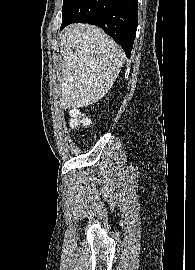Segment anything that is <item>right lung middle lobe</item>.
Here are the masks:
<instances>
[{"label":"right lung middle lobe","instance_id":"1","mask_svg":"<svg viewBox=\"0 0 195 270\" xmlns=\"http://www.w3.org/2000/svg\"><path fill=\"white\" fill-rule=\"evenodd\" d=\"M73 2V0H63V11H65Z\"/></svg>","mask_w":195,"mask_h":270}]
</instances>
